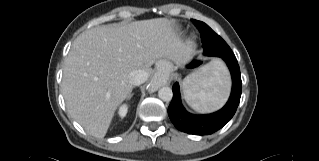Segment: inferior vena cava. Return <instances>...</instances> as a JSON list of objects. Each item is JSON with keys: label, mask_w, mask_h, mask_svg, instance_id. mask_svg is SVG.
Instances as JSON below:
<instances>
[{"label": "inferior vena cava", "mask_w": 319, "mask_h": 161, "mask_svg": "<svg viewBox=\"0 0 319 161\" xmlns=\"http://www.w3.org/2000/svg\"><path fill=\"white\" fill-rule=\"evenodd\" d=\"M129 78L132 85L138 86L147 80L148 74L143 70H134L130 72Z\"/></svg>", "instance_id": "obj_1"}]
</instances>
